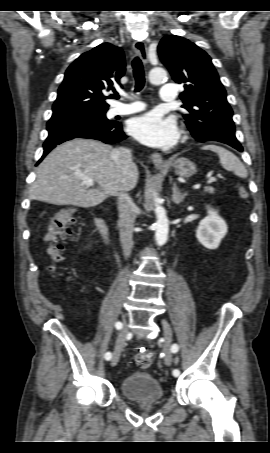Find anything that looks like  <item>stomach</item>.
I'll return each instance as SVG.
<instances>
[{
	"label": "stomach",
	"instance_id": "obj_1",
	"mask_svg": "<svg viewBox=\"0 0 270 453\" xmlns=\"http://www.w3.org/2000/svg\"><path fill=\"white\" fill-rule=\"evenodd\" d=\"M175 173L181 177H190L197 172L196 165L187 158H178L173 161Z\"/></svg>",
	"mask_w": 270,
	"mask_h": 453
}]
</instances>
